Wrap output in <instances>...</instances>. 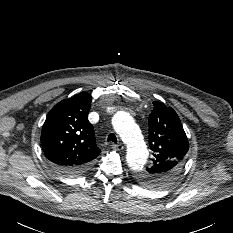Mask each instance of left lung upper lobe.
I'll list each match as a JSON object with an SVG mask.
<instances>
[{"label": "left lung upper lobe", "instance_id": "5c2ea615", "mask_svg": "<svg viewBox=\"0 0 233 233\" xmlns=\"http://www.w3.org/2000/svg\"><path fill=\"white\" fill-rule=\"evenodd\" d=\"M153 105L149 116V146L155 158L145 176L152 183H160L180 170L189 143L177 113L162 102L155 101Z\"/></svg>", "mask_w": 233, "mask_h": 233}]
</instances>
